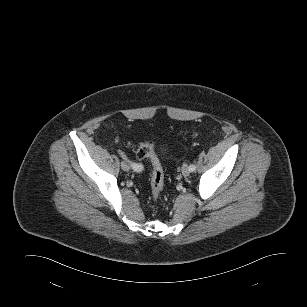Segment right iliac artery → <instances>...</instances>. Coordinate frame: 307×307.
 <instances>
[{"label": "right iliac artery", "mask_w": 307, "mask_h": 307, "mask_svg": "<svg viewBox=\"0 0 307 307\" xmlns=\"http://www.w3.org/2000/svg\"><path fill=\"white\" fill-rule=\"evenodd\" d=\"M119 154H120V156H121L125 161H127V162L131 165V167H132V169H133L134 171H136V172L142 171V169H143V166H142V165L137 164V163H134V162H132V161H129L128 158L126 157V155H125L122 151H120V150H119Z\"/></svg>", "instance_id": "obj_1"}]
</instances>
